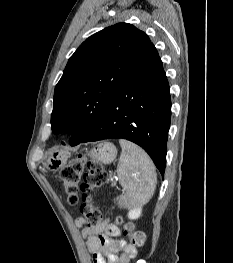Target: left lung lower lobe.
<instances>
[{
	"instance_id": "0a47b994",
	"label": "left lung lower lobe",
	"mask_w": 233,
	"mask_h": 263,
	"mask_svg": "<svg viewBox=\"0 0 233 263\" xmlns=\"http://www.w3.org/2000/svg\"><path fill=\"white\" fill-rule=\"evenodd\" d=\"M171 119L169 84L152 44L121 85L98 122L79 143L123 138L141 146L163 175Z\"/></svg>"
}]
</instances>
